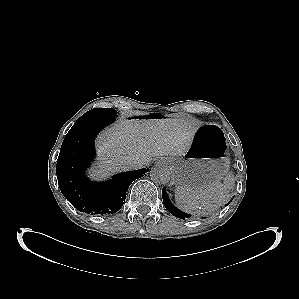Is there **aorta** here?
I'll return each instance as SVG.
<instances>
[{"label":"aorta","mask_w":299,"mask_h":299,"mask_svg":"<svg viewBox=\"0 0 299 299\" xmlns=\"http://www.w3.org/2000/svg\"><path fill=\"white\" fill-rule=\"evenodd\" d=\"M150 177L156 183L166 184L169 182L171 174L166 166L158 165L151 169Z\"/></svg>","instance_id":"obj_1"}]
</instances>
